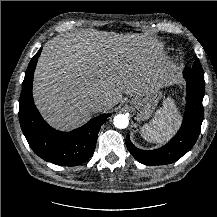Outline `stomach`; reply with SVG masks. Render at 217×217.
Wrapping results in <instances>:
<instances>
[{"instance_id":"0dacf381","label":"stomach","mask_w":217,"mask_h":217,"mask_svg":"<svg viewBox=\"0 0 217 217\" xmlns=\"http://www.w3.org/2000/svg\"><path fill=\"white\" fill-rule=\"evenodd\" d=\"M160 98L161 92L159 89L145 90L141 94L135 95L130 104L136 111L138 120L144 121L149 119Z\"/></svg>"}]
</instances>
